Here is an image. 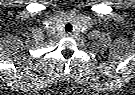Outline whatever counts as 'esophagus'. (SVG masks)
I'll return each mask as SVG.
<instances>
[{
	"label": "esophagus",
	"instance_id": "esophagus-1",
	"mask_svg": "<svg viewBox=\"0 0 135 95\" xmlns=\"http://www.w3.org/2000/svg\"><path fill=\"white\" fill-rule=\"evenodd\" d=\"M64 36H65V37H72V36H73V34H72V33H70V32H68V33H65V34H64Z\"/></svg>",
	"mask_w": 135,
	"mask_h": 95
}]
</instances>
